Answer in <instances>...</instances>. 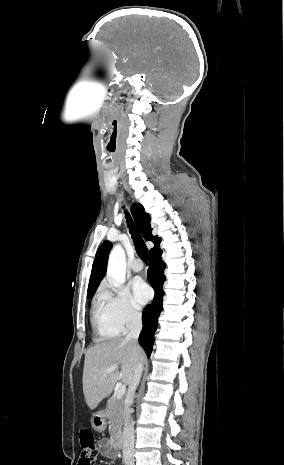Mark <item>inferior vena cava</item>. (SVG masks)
Listing matches in <instances>:
<instances>
[{"label":"inferior vena cava","mask_w":284,"mask_h":465,"mask_svg":"<svg viewBox=\"0 0 284 465\" xmlns=\"http://www.w3.org/2000/svg\"><path fill=\"white\" fill-rule=\"evenodd\" d=\"M130 329L126 341H137L141 329H142V319L140 313H132L130 317ZM143 367L139 363L137 369L134 371V377L132 383L129 385L125 407H124V429H123V461L125 465H135L134 463V423L131 417V405L134 399V393L140 383Z\"/></svg>","instance_id":"602c4592"}]
</instances>
